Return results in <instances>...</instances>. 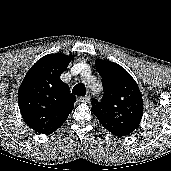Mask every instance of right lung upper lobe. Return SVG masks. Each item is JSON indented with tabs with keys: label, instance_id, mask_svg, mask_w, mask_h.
Instances as JSON below:
<instances>
[{
	"label": "right lung upper lobe",
	"instance_id": "right-lung-upper-lobe-1",
	"mask_svg": "<svg viewBox=\"0 0 171 171\" xmlns=\"http://www.w3.org/2000/svg\"><path fill=\"white\" fill-rule=\"evenodd\" d=\"M73 56L48 54L27 72L18 90L24 122L40 134H51L67 120L76 98L60 75Z\"/></svg>",
	"mask_w": 171,
	"mask_h": 171
}]
</instances>
